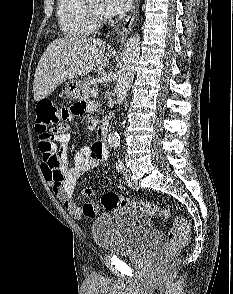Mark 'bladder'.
<instances>
[{
    "mask_svg": "<svg viewBox=\"0 0 233 294\" xmlns=\"http://www.w3.org/2000/svg\"><path fill=\"white\" fill-rule=\"evenodd\" d=\"M91 234L105 252L137 255L152 243L157 229L143 212L119 206L99 216L92 224Z\"/></svg>",
    "mask_w": 233,
    "mask_h": 294,
    "instance_id": "bladder-1",
    "label": "bladder"
}]
</instances>
